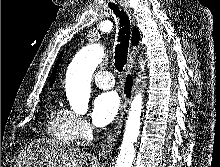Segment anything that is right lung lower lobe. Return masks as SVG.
I'll return each instance as SVG.
<instances>
[{
    "label": "right lung lower lobe",
    "instance_id": "obj_1",
    "mask_svg": "<svg viewBox=\"0 0 220 167\" xmlns=\"http://www.w3.org/2000/svg\"><path fill=\"white\" fill-rule=\"evenodd\" d=\"M131 87H132V79L131 76H128L126 79V86H125V93L127 94V96H130Z\"/></svg>",
    "mask_w": 220,
    "mask_h": 167
}]
</instances>
